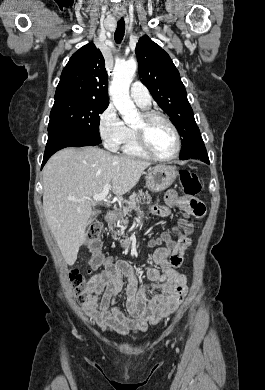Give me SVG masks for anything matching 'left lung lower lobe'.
<instances>
[{
    "label": "left lung lower lobe",
    "instance_id": "0a47b994",
    "mask_svg": "<svg viewBox=\"0 0 265 390\" xmlns=\"http://www.w3.org/2000/svg\"><path fill=\"white\" fill-rule=\"evenodd\" d=\"M189 158L199 159L207 164H210L205 146L198 149L196 152L190 155Z\"/></svg>",
    "mask_w": 265,
    "mask_h": 390
}]
</instances>
